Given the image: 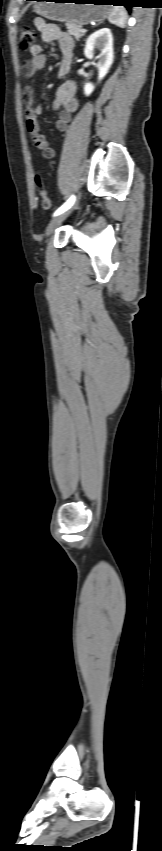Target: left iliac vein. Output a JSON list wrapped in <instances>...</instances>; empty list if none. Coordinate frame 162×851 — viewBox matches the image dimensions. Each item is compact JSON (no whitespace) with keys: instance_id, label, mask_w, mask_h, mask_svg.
I'll list each match as a JSON object with an SVG mask.
<instances>
[{"instance_id":"left-iliac-vein-1","label":"left iliac vein","mask_w":162,"mask_h":851,"mask_svg":"<svg viewBox=\"0 0 162 851\" xmlns=\"http://www.w3.org/2000/svg\"><path fill=\"white\" fill-rule=\"evenodd\" d=\"M78 204L79 201L72 205L68 210L55 217L46 228V236H50L55 231V229L61 224V222L64 221L70 215V213L78 206Z\"/></svg>"}]
</instances>
